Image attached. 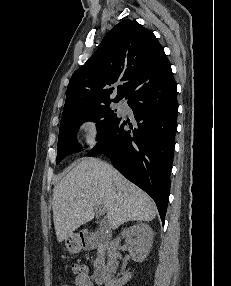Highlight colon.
<instances>
[{
  "mask_svg": "<svg viewBox=\"0 0 231 286\" xmlns=\"http://www.w3.org/2000/svg\"><path fill=\"white\" fill-rule=\"evenodd\" d=\"M58 286H70V285L67 284V283H61V284H59Z\"/></svg>",
  "mask_w": 231,
  "mask_h": 286,
  "instance_id": "colon-1",
  "label": "colon"
}]
</instances>
